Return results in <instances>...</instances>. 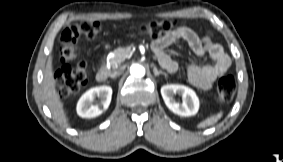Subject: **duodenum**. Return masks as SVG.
Wrapping results in <instances>:
<instances>
[{"instance_id": "1", "label": "duodenum", "mask_w": 283, "mask_h": 162, "mask_svg": "<svg viewBox=\"0 0 283 162\" xmlns=\"http://www.w3.org/2000/svg\"><path fill=\"white\" fill-rule=\"evenodd\" d=\"M108 78V70L106 67H100L96 72V80L98 82H104Z\"/></svg>"}]
</instances>
